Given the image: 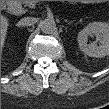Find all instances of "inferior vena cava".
I'll list each match as a JSON object with an SVG mask.
<instances>
[{
    "label": "inferior vena cava",
    "mask_w": 109,
    "mask_h": 109,
    "mask_svg": "<svg viewBox=\"0 0 109 109\" xmlns=\"http://www.w3.org/2000/svg\"><path fill=\"white\" fill-rule=\"evenodd\" d=\"M35 23H36L35 18H33V17H24L19 21L18 25L19 26H30V25H33Z\"/></svg>",
    "instance_id": "obj_1"
}]
</instances>
